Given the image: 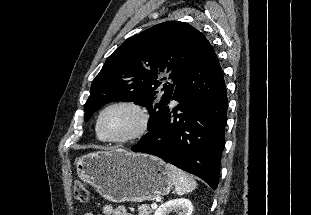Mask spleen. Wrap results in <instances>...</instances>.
<instances>
[{
    "label": "spleen",
    "mask_w": 311,
    "mask_h": 215,
    "mask_svg": "<svg viewBox=\"0 0 311 215\" xmlns=\"http://www.w3.org/2000/svg\"><path fill=\"white\" fill-rule=\"evenodd\" d=\"M166 168L175 186V192L177 195L181 196L187 194L197 187V183L193 177L183 170H180L171 164H166Z\"/></svg>",
    "instance_id": "1"
}]
</instances>
